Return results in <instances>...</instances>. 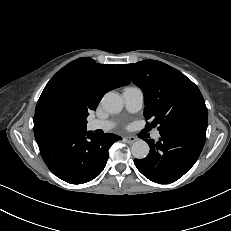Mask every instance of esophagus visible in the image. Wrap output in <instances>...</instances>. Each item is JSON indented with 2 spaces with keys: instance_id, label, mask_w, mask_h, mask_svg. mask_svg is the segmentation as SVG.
I'll list each match as a JSON object with an SVG mask.
<instances>
[{
  "instance_id": "obj_1",
  "label": "esophagus",
  "mask_w": 231,
  "mask_h": 231,
  "mask_svg": "<svg viewBox=\"0 0 231 231\" xmlns=\"http://www.w3.org/2000/svg\"><path fill=\"white\" fill-rule=\"evenodd\" d=\"M124 139L127 143H134L135 141H137V138L134 136H126Z\"/></svg>"
}]
</instances>
